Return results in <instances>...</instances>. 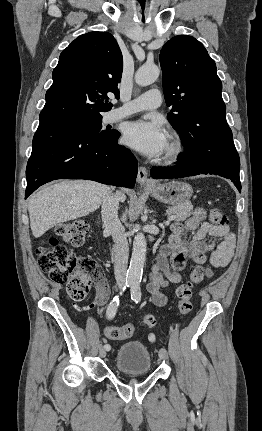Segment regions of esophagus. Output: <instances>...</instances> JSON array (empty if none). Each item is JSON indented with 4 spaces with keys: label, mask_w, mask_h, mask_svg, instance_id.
Here are the masks:
<instances>
[{
    "label": "esophagus",
    "mask_w": 262,
    "mask_h": 431,
    "mask_svg": "<svg viewBox=\"0 0 262 431\" xmlns=\"http://www.w3.org/2000/svg\"><path fill=\"white\" fill-rule=\"evenodd\" d=\"M137 182L141 186H153L154 183L148 177V170L145 166H140L137 174Z\"/></svg>",
    "instance_id": "1"
}]
</instances>
